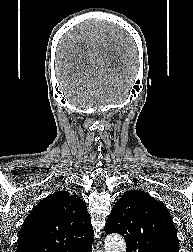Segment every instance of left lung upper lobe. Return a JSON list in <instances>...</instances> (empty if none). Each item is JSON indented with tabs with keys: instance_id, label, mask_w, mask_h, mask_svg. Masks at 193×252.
<instances>
[{
	"instance_id": "5c2ea615",
	"label": "left lung upper lobe",
	"mask_w": 193,
	"mask_h": 252,
	"mask_svg": "<svg viewBox=\"0 0 193 252\" xmlns=\"http://www.w3.org/2000/svg\"><path fill=\"white\" fill-rule=\"evenodd\" d=\"M104 230L121 234L127 242L126 252H179L168 210L145 192H125L114 205Z\"/></svg>"
}]
</instances>
